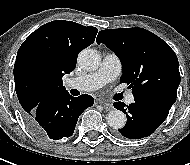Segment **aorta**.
Listing matches in <instances>:
<instances>
[{
	"instance_id": "obj_1",
	"label": "aorta",
	"mask_w": 190,
	"mask_h": 165,
	"mask_svg": "<svg viewBox=\"0 0 190 165\" xmlns=\"http://www.w3.org/2000/svg\"><path fill=\"white\" fill-rule=\"evenodd\" d=\"M101 62L99 53L90 48L82 50L78 55L79 65L86 71H95L98 69ZM107 123L113 129L123 128L126 124L125 114L117 109L110 111L107 114Z\"/></svg>"
}]
</instances>
